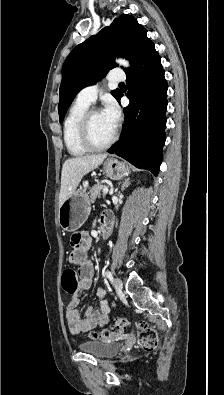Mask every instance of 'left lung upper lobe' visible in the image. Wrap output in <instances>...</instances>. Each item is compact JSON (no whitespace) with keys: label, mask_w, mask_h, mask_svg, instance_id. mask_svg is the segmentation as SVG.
I'll return each mask as SVG.
<instances>
[{"label":"left lung upper lobe","mask_w":224,"mask_h":395,"mask_svg":"<svg viewBox=\"0 0 224 395\" xmlns=\"http://www.w3.org/2000/svg\"><path fill=\"white\" fill-rule=\"evenodd\" d=\"M146 33L136 19L123 14L114 19L109 27L73 49L62 68L58 105L60 122L81 89L101 80L110 69L116 67L115 57H124L131 65L134 64L139 54L152 42ZM111 93L117 99L121 92L116 89Z\"/></svg>","instance_id":"obj_1"}]
</instances>
